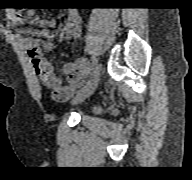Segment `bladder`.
Wrapping results in <instances>:
<instances>
[{
	"instance_id": "31cf9c89",
	"label": "bladder",
	"mask_w": 192,
	"mask_h": 180,
	"mask_svg": "<svg viewBox=\"0 0 192 180\" xmlns=\"http://www.w3.org/2000/svg\"><path fill=\"white\" fill-rule=\"evenodd\" d=\"M102 112L101 107L98 104H92L87 108V113L92 115H98Z\"/></svg>"
}]
</instances>
